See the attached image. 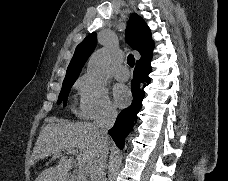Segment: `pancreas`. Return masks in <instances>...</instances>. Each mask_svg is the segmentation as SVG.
Here are the masks:
<instances>
[{
  "label": "pancreas",
  "mask_w": 228,
  "mask_h": 181,
  "mask_svg": "<svg viewBox=\"0 0 228 181\" xmlns=\"http://www.w3.org/2000/svg\"><path fill=\"white\" fill-rule=\"evenodd\" d=\"M88 175V173H87ZM87 175H85V177H80V173H78V171H76L74 177H72V179H75V181H87Z\"/></svg>",
  "instance_id": "1"
}]
</instances>
